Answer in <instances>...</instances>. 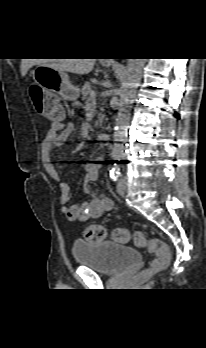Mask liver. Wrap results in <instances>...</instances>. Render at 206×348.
Listing matches in <instances>:
<instances>
[{
	"mask_svg": "<svg viewBox=\"0 0 206 348\" xmlns=\"http://www.w3.org/2000/svg\"><path fill=\"white\" fill-rule=\"evenodd\" d=\"M95 61L96 59H23L20 68L22 76H25L34 65H42L63 72L84 75L92 71Z\"/></svg>",
	"mask_w": 206,
	"mask_h": 348,
	"instance_id": "obj_1",
	"label": "liver"
}]
</instances>
